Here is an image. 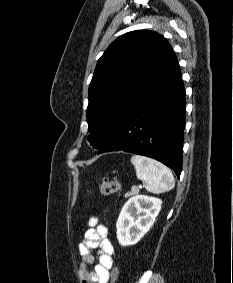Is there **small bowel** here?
<instances>
[{
	"label": "small bowel",
	"mask_w": 233,
	"mask_h": 283,
	"mask_svg": "<svg viewBox=\"0 0 233 283\" xmlns=\"http://www.w3.org/2000/svg\"><path fill=\"white\" fill-rule=\"evenodd\" d=\"M84 240L78 245L81 259L78 274L82 283H108L113 268L114 247L107 237V229L98 222L96 216L90 217ZM98 250L96 263L93 252ZM89 266H94L89 270Z\"/></svg>",
	"instance_id": "1"
}]
</instances>
